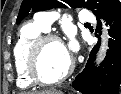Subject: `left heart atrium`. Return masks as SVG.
<instances>
[{
    "label": "left heart atrium",
    "instance_id": "left-heart-atrium-1",
    "mask_svg": "<svg viewBox=\"0 0 121 94\" xmlns=\"http://www.w3.org/2000/svg\"><path fill=\"white\" fill-rule=\"evenodd\" d=\"M67 52L71 55L76 50V44L72 41L68 46H65Z\"/></svg>",
    "mask_w": 121,
    "mask_h": 94
}]
</instances>
